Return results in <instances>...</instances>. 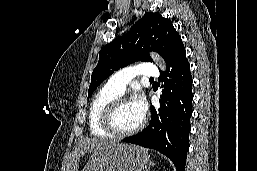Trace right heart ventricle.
<instances>
[{"instance_id":"obj_1","label":"right heart ventricle","mask_w":257,"mask_h":171,"mask_svg":"<svg viewBox=\"0 0 257 171\" xmlns=\"http://www.w3.org/2000/svg\"><path fill=\"white\" fill-rule=\"evenodd\" d=\"M121 94L110 89L107 85L103 86L94 95L88 112V125L90 133L95 137L108 138L112 135L102 128L101 118L106 105Z\"/></svg>"}]
</instances>
